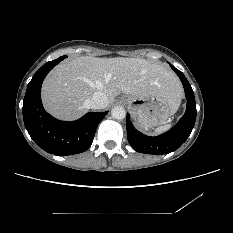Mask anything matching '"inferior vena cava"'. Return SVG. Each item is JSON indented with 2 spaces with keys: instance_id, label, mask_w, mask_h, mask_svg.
I'll return each instance as SVG.
<instances>
[{
  "instance_id": "obj_1",
  "label": "inferior vena cava",
  "mask_w": 233,
  "mask_h": 233,
  "mask_svg": "<svg viewBox=\"0 0 233 233\" xmlns=\"http://www.w3.org/2000/svg\"><path fill=\"white\" fill-rule=\"evenodd\" d=\"M86 104L92 109H103L108 104V98L105 93L98 91L93 94L89 101H86Z\"/></svg>"
}]
</instances>
